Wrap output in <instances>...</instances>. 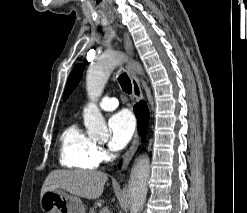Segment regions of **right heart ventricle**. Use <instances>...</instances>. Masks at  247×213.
<instances>
[{"instance_id": "e07e8e85", "label": "right heart ventricle", "mask_w": 247, "mask_h": 213, "mask_svg": "<svg viewBox=\"0 0 247 213\" xmlns=\"http://www.w3.org/2000/svg\"><path fill=\"white\" fill-rule=\"evenodd\" d=\"M96 144L77 123L68 125L60 135V164L68 168L96 169L99 161Z\"/></svg>"}]
</instances>
